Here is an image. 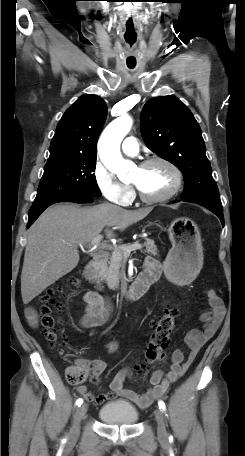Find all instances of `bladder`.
Wrapping results in <instances>:
<instances>
[{
    "mask_svg": "<svg viewBox=\"0 0 245 456\" xmlns=\"http://www.w3.org/2000/svg\"><path fill=\"white\" fill-rule=\"evenodd\" d=\"M99 418L109 425L131 426L138 421L139 413L129 402L115 400L101 407Z\"/></svg>",
    "mask_w": 245,
    "mask_h": 456,
    "instance_id": "obj_1",
    "label": "bladder"
}]
</instances>
